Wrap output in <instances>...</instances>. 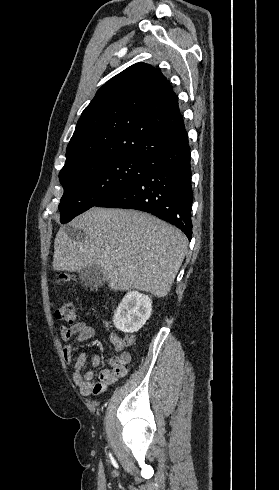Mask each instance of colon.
Wrapping results in <instances>:
<instances>
[{
    "label": "colon",
    "mask_w": 279,
    "mask_h": 490,
    "mask_svg": "<svg viewBox=\"0 0 279 490\" xmlns=\"http://www.w3.org/2000/svg\"><path fill=\"white\" fill-rule=\"evenodd\" d=\"M70 280V276L68 274H62L58 279V282L65 283ZM55 317L56 319L73 325L76 322L77 313L74 305L69 302H57L55 306ZM115 341H123L124 347H132L134 342L133 336H128L124 340H115Z\"/></svg>",
    "instance_id": "obj_1"
}]
</instances>
